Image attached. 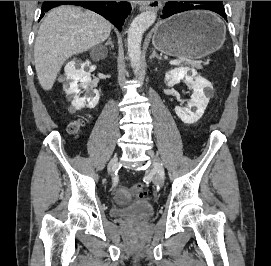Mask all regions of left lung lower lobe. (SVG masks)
<instances>
[{
  "label": "left lung lower lobe",
  "mask_w": 271,
  "mask_h": 266,
  "mask_svg": "<svg viewBox=\"0 0 271 266\" xmlns=\"http://www.w3.org/2000/svg\"><path fill=\"white\" fill-rule=\"evenodd\" d=\"M193 9L210 10L227 20L223 3L219 1H168L163 8L161 18L165 19L176 13Z\"/></svg>",
  "instance_id": "left-lung-lower-lobe-1"
}]
</instances>
